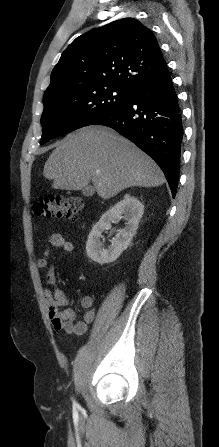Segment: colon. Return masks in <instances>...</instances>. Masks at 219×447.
<instances>
[{
  "mask_svg": "<svg viewBox=\"0 0 219 447\" xmlns=\"http://www.w3.org/2000/svg\"><path fill=\"white\" fill-rule=\"evenodd\" d=\"M85 209V203L77 197L44 196L34 202L33 213L45 218L74 220Z\"/></svg>",
  "mask_w": 219,
  "mask_h": 447,
  "instance_id": "colon-1",
  "label": "colon"
}]
</instances>
